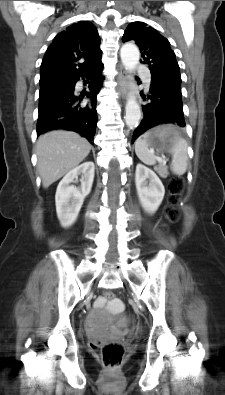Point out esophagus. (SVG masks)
Here are the masks:
<instances>
[{
  "label": "esophagus",
  "instance_id": "esophagus-1",
  "mask_svg": "<svg viewBox=\"0 0 225 395\" xmlns=\"http://www.w3.org/2000/svg\"><path fill=\"white\" fill-rule=\"evenodd\" d=\"M117 83L119 93L123 97H126L128 94L127 73L123 66H120V68L118 69Z\"/></svg>",
  "mask_w": 225,
  "mask_h": 395
}]
</instances>
